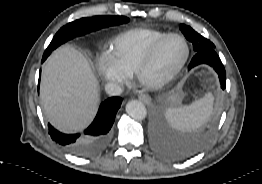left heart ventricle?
I'll return each instance as SVG.
<instances>
[{
  "label": "left heart ventricle",
  "instance_id": "obj_1",
  "mask_svg": "<svg viewBox=\"0 0 262 184\" xmlns=\"http://www.w3.org/2000/svg\"><path fill=\"white\" fill-rule=\"evenodd\" d=\"M185 45L178 38L169 39L159 51L148 77L160 78L173 70L184 58Z\"/></svg>",
  "mask_w": 262,
  "mask_h": 184
}]
</instances>
